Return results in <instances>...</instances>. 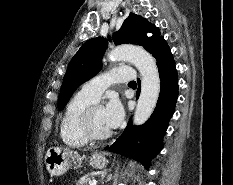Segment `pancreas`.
<instances>
[{"label":"pancreas","mask_w":233,"mask_h":185,"mask_svg":"<svg viewBox=\"0 0 233 185\" xmlns=\"http://www.w3.org/2000/svg\"><path fill=\"white\" fill-rule=\"evenodd\" d=\"M91 177L90 176H85L83 178H81L80 180H78L76 182V185H88V183L91 181Z\"/></svg>","instance_id":"pancreas-1"}]
</instances>
